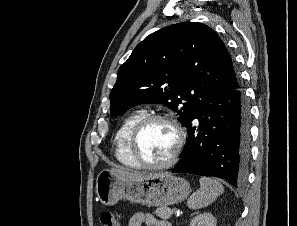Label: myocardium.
Masks as SVG:
<instances>
[{
    "label": "myocardium",
    "mask_w": 297,
    "mask_h": 226,
    "mask_svg": "<svg viewBox=\"0 0 297 226\" xmlns=\"http://www.w3.org/2000/svg\"><path fill=\"white\" fill-rule=\"evenodd\" d=\"M155 121H162L171 125L176 134V144L171 156L166 161L158 164L146 162L141 157L138 151V140L140 134L148 124ZM185 140L186 134L184 132V129L174 117L161 113L147 114L144 117H142L132 128L128 138V150L131 157L134 159V161L138 164L140 168L149 170H162L170 168L177 163L182 153Z\"/></svg>",
    "instance_id": "myocardium-1"
}]
</instances>
